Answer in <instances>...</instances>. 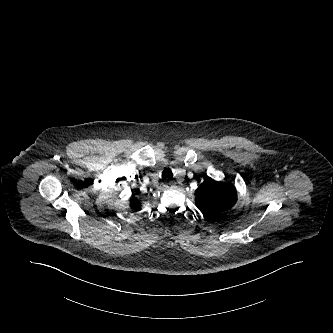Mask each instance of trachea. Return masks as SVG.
<instances>
[{
	"mask_svg": "<svg viewBox=\"0 0 333 333\" xmlns=\"http://www.w3.org/2000/svg\"><path fill=\"white\" fill-rule=\"evenodd\" d=\"M162 179L163 180L173 179V173H172L171 169L166 168V169L163 170V172H162Z\"/></svg>",
	"mask_w": 333,
	"mask_h": 333,
	"instance_id": "1",
	"label": "trachea"
}]
</instances>
